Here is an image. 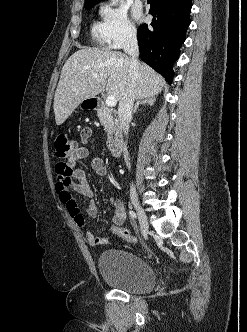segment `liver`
<instances>
[{"label":"liver","instance_id":"obj_1","mask_svg":"<svg viewBox=\"0 0 247 332\" xmlns=\"http://www.w3.org/2000/svg\"><path fill=\"white\" fill-rule=\"evenodd\" d=\"M130 58L108 49L86 47L73 53L65 62L54 95V114L61 125L86 99L106 89L121 101L131 82ZM164 79L145 63H139V76L135 81L136 97L155 96L161 92Z\"/></svg>","mask_w":247,"mask_h":332}]
</instances>
